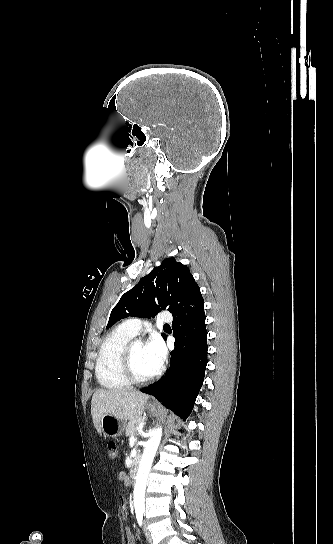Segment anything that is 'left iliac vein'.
<instances>
[{"label":"left iliac vein","mask_w":333,"mask_h":544,"mask_svg":"<svg viewBox=\"0 0 333 544\" xmlns=\"http://www.w3.org/2000/svg\"><path fill=\"white\" fill-rule=\"evenodd\" d=\"M144 532H145V536H146V539L148 540V542L152 543V537H151L150 531L147 528V522L146 521L144 522Z\"/></svg>","instance_id":"1"}]
</instances>
